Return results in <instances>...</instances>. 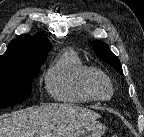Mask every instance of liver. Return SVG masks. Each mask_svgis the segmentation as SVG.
Returning <instances> with one entry per match:
<instances>
[{"instance_id":"1","label":"liver","mask_w":144,"mask_h":137,"mask_svg":"<svg viewBox=\"0 0 144 137\" xmlns=\"http://www.w3.org/2000/svg\"><path fill=\"white\" fill-rule=\"evenodd\" d=\"M101 116L70 104H51L0 116V137H69Z\"/></svg>"}]
</instances>
